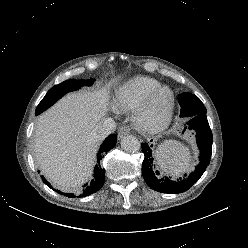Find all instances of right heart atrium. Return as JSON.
<instances>
[{
    "instance_id": "1",
    "label": "right heart atrium",
    "mask_w": 248,
    "mask_h": 248,
    "mask_svg": "<svg viewBox=\"0 0 248 248\" xmlns=\"http://www.w3.org/2000/svg\"><path fill=\"white\" fill-rule=\"evenodd\" d=\"M113 109H114V111H117L118 110V108L116 106H114Z\"/></svg>"
}]
</instances>
